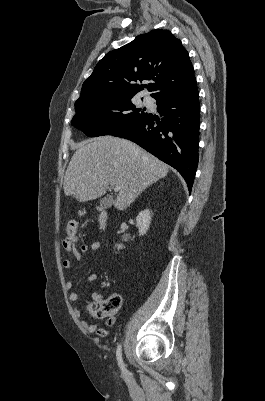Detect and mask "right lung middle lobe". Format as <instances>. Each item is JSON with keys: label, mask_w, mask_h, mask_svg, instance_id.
<instances>
[{"label": "right lung middle lobe", "mask_w": 265, "mask_h": 401, "mask_svg": "<svg viewBox=\"0 0 265 401\" xmlns=\"http://www.w3.org/2000/svg\"><path fill=\"white\" fill-rule=\"evenodd\" d=\"M132 97L103 96L75 106L72 125L89 137L112 135L148 115L136 108Z\"/></svg>", "instance_id": "obj_1"}]
</instances>
